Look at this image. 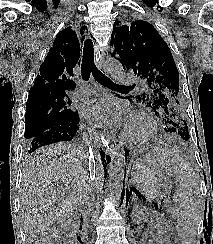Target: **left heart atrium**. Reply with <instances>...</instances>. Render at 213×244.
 <instances>
[{"instance_id":"39dd6f15","label":"left heart atrium","mask_w":213,"mask_h":244,"mask_svg":"<svg viewBox=\"0 0 213 244\" xmlns=\"http://www.w3.org/2000/svg\"><path fill=\"white\" fill-rule=\"evenodd\" d=\"M83 113L97 128L120 126L125 131L133 120L131 112L124 105L108 97L87 100L84 104Z\"/></svg>"}]
</instances>
